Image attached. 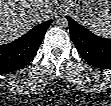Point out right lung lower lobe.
Segmentation results:
<instances>
[{
  "mask_svg": "<svg viewBox=\"0 0 111 106\" xmlns=\"http://www.w3.org/2000/svg\"><path fill=\"white\" fill-rule=\"evenodd\" d=\"M51 22L39 24L19 39L0 45V73L13 72L28 65L35 57Z\"/></svg>",
  "mask_w": 111,
  "mask_h": 106,
  "instance_id": "right-lung-lower-lobe-1",
  "label": "right lung lower lobe"
}]
</instances>
